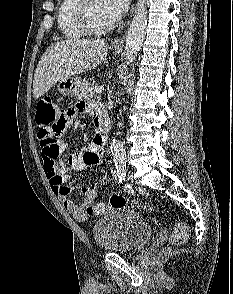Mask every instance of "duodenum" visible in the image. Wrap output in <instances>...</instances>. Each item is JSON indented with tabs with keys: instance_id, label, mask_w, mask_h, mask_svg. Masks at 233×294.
Masks as SVG:
<instances>
[{
	"instance_id": "1",
	"label": "duodenum",
	"mask_w": 233,
	"mask_h": 294,
	"mask_svg": "<svg viewBox=\"0 0 233 294\" xmlns=\"http://www.w3.org/2000/svg\"><path fill=\"white\" fill-rule=\"evenodd\" d=\"M94 125L97 140L100 143H105L108 138L110 123L105 108L99 104L94 108Z\"/></svg>"
}]
</instances>
